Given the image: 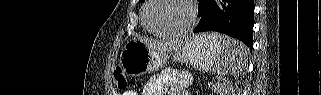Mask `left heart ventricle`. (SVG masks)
<instances>
[{"label": "left heart ventricle", "mask_w": 321, "mask_h": 95, "mask_svg": "<svg viewBox=\"0 0 321 95\" xmlns=\"http://www.w3.org/2000/svg\"><path fill=\"white\" fill-rule=\"evenodd\" d=\"M189 21V8L181 0H158L148 11L150 26L160 31L182 30Z\"/></svg>", "instance_id": "1"}]
</instances>
